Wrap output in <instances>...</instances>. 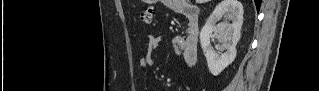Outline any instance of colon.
<instances>
[{
    "instance_id": "obj_1",
    "label": "colon",
    "mask_w": 319,
    "mask_h": 91,
    "mask_svg": "<svg viewBox=\"0 0 319 91\" xmlns=\"http://www.w3.org/2000/svg\"><path fill=\"white\" fill-rule=\"evenodd\" d=\"M153 16H154V8L152 6H149L141 13V21L145 23L146 25H152Z\"/></svg>"
}]
</instances>
